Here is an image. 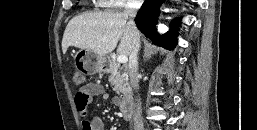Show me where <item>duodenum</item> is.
Here are the masks:
<instances>
[{
    "label": "duodenum",
    "mask_w": 257,
    "mask_h": 130,
    "mask_svg": "<svg viewBox=\"0 0 257 130\" xmlns=\"http://www.w3.org/2000/svg\"><path fill=\"white\" fill-rule=\"evenodd\" d=\"M103 67L104 69L109 70L111 68V63L108 60H105L103 62ZM119 106H120V112L122 116L125 119L130 118L133 110V96H132L131 90L129 89L125 90Z\"/></svg>",
    "instance_id": "obj_1"
}]
</instances>
